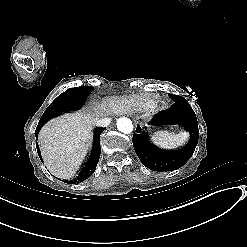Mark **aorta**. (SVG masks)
<instances>
[{"label": "aorta", "mask_w": 247, "mask_h": 247, "mask_svg": "<svg viewBox=\"0 0 247 247\" xmlns=\"http://www.w3.org/2000/svg\"><path fill=\"white\" fill-rule=\"evenodd\" d=\"M117 128L120 132L129 134L133 130L132 121L128 118L122 117L117 120Z\"/></svg>", "instance_id": "1"}]
</instances>
